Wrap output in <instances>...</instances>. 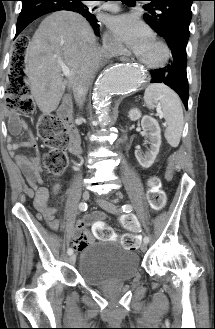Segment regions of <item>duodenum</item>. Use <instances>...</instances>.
I'll list each match as a JSON object with an SVG mask.
<instances>
[{
    "label": "duodenum",
    "instance_id": "410a0bca",
    "mask_svg": "<svg viewBox=\"0 0 215 329\" xmlns=\"http://www.w3.org/2000/svg\"><path fill=\"white\" fill-rule=\"evenodd\" d=\"M58 116L65 126L68 133V151L71 154L77 155L81 153V141L78 132L76 131L72 121V101L66 96L58 110Z\"/></svg>",
    "mask_w": 215,
    "mask_h": 329
}]
</instances>
